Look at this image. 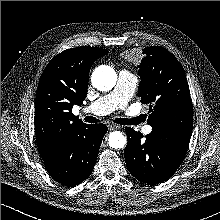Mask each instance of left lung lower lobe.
Masks as SVG:
<instances>
[{"label":"left lung lower lobe","instance_id":"obj_1","mask_svg":"<svg viewBox=\"0 0 220 220\" xmlns=\"http://www.w3.org/2000/svg\"><path fill=\"white\" fill-rule=\"evenodd\" d=\"M128 143L124 156L129 172L139 181L158 184L169 179L182 163L190 137L152 129L143 138L140 132L125 128Z\"/></svg>","mask_w":220,"mask_h":220}]
</instances>
